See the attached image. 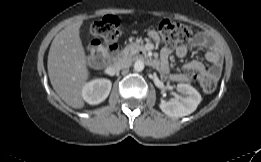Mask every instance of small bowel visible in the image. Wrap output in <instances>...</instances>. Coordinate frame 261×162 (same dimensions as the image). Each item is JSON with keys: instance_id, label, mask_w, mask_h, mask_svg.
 <instances>
[{"instance_id": "c3829d8e", "label": "small bowel", "mask_w": 261, "mask_h": 162, "mask_svg": "<svg viewBox=\"0 0 261 162\" xmlns=\"http://www.w3.org/2000/svg\"><path fill=\"white\" fill-rule=\"evenodd\" d=\"M150 37L154 41H159V36L156 32H152L150 34ZM209 38L208 35L204 32H199L195 35V37L192 40V45L194 46H205L208 42ZM188 52V46L186 44L179 45L176 49V55L178 57H184ZM171 51L168 48L162 49L161 57L163 60H165L169 55ZM205 57L208 62H210L211 67L207 68L202 62L198 60H192L184 65V69L188 74L186 75V78L189 80L194 79L195 73H209L214 76H218L221 72L222 62H221V54L217 47H212L209 51L206 52ZM164 63L163 61H161ZM165 65V64H164ZM165 68V66L163 67ZM171 79L174 81H181L184 79V77L180 74H171Z\"/></svg>"}]
</instances>
